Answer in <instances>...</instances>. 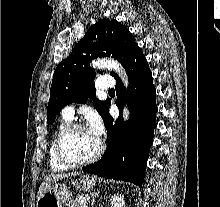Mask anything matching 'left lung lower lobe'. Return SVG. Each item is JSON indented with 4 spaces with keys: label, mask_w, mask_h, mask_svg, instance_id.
Instances as JSON below:
<instances>
[{
    "label": "left lung lower lobe",
    "mask_w": 220,
    "mask_h": 207,
    "mask_svg": "<svg viewBox=\"0 0 220 207\" xmlns=\"http://www.w3.org/2000/svg\"><path fill=\"white\" fill-rule=\"evenodd\" d=\"M124 68L129 78V90L125 91L120 78L115 76L118 96L116 104L122 113L123 104L128 102L130 118L123 122L121 116L113 124L108 112L109 104L103 119L108 132L107 149L98 162L83 170L103 178L141 186L156 126V91L148 62L138 45L125 62Z\"/></svg>",
    "instance_id": "1"
}]
</instances>
